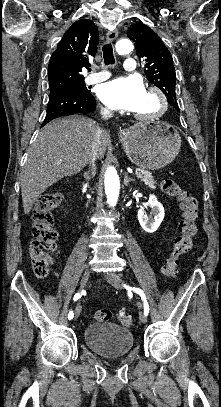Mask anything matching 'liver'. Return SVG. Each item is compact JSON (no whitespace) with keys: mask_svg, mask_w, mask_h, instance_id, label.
<instances>
[{"mask_svg":"<svg viewBox=\"0 0 221 407\" xmlns=\"http://www.w3.org/2000/svg\"><path fill=\"white\" fill-rule=\"evenodd\" d=\"M96 130L95 121L83 116L56 119L41 129L28 152L20 177L25 214L48 187L86 166ZM110 144V135L105 131L99 158L104 156Z\"/></svg>","mask_w":221,"mask_h":407,"instance_id":"obj_1","label":"liver"}]
</instances>
